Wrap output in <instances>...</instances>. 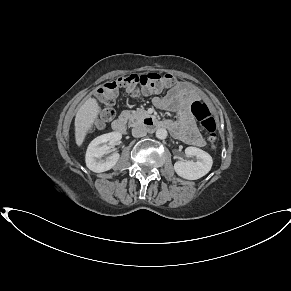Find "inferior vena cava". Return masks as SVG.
Wrapping results in <instances>:
<instances>
[{
    "label": "inferior vena cava",
    "instance_id": "602c4592",
    "mask_svg": "<svg viewBox=\"0 0 291 291\" xmlns=\"http://www.w3.org/2000/svg\"><path fill=\"white\" fill-rule=\"evenodd\" d=\"M132 135L136 138L143 137L147 135V129L143 125L136 126L132 129Z\"/></svg>",
    "mask_w": 291,
    "mask_h": 291
}]
</instances>
